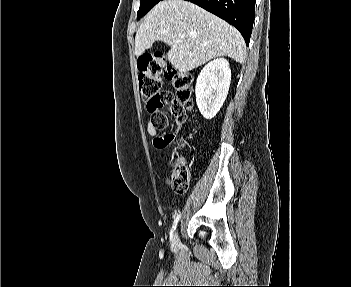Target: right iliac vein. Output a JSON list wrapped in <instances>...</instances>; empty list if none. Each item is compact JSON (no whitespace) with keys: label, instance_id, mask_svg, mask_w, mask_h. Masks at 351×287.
<instances>
[{"label":"right iliac vein","instance_id":"1","mask_svg":"<svg viewBox=\"0 0 351 287\" xmlns=\"http://www.w3.org/2000/svg\"><path fill=\"white\" fill-rule=\"evenodd\" d=\"M180 244V240H179V237H178V233L175 232L174 236H173V239H172V247L173 248H177Z\"/></svg>","mask_w":351,"mask_h":287}]
</instances>
